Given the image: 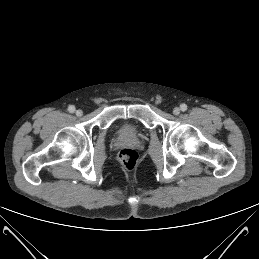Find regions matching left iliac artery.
I'll return each mask as SVG.
<instances>
[{
    "mask_svg": "<svg viewBox=\"0 0 259 259\" xmlns=\"http://www.w3.org/2000/svg\"><path fill=\"white\" fill-rule=\"evenodd\" d=\"M180 108H181V110L184 112V111L187 110V105H186V104H181V105H180Z\"/></svg>",
    "mask_w": 259,
    "mask_h": 259,
    "instance_id": "44dca946",
    "label": "left iliac artery"
}]
</instances>
